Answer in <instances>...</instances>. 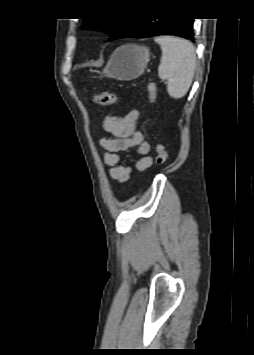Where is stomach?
<instances>
[{
  "label": "stomach",
  "mask_w": 254,
  "mask_h": 355,
  "mask_svg": "<svg viewBox=\"0 0 254 355\" xmlns=\"http://www.w3.org/2000/svg\"><path fill=\"white\" fill-rule=\"evenodd\" d=\"M150 52L145 46L126 44L111 55L103 74L117 80H133L144 73Z\"/></svg>",
  "instance_id": "stomach-1"
}]
</instances>
